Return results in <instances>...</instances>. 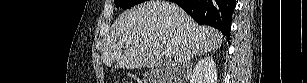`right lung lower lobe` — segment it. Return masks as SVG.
Returning <instances> with one entry per match:
<instances>
[{
  "mask_svg": "<svg viewBox=\"0 0 307 83\" xmlns=\"http://www.w3.org/2000/svg\"><path fill=\"white\" fill-rule=\"evenodd\" d=\"M199 24L217 28L229 40L236 0H173Z\"/></svg>",
  "mask_w": 307,
  "mask_h": 83,
  "instance_id": "98d812e1",
  "label": "right lung lower lobe"
}]
</instances>
